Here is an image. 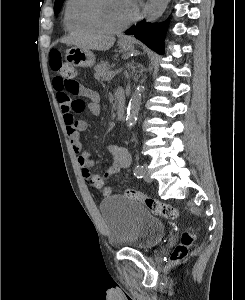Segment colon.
Returning a JSON list of instances; mask_svg holds the SVG:
<instances>
[{
  "instance_id": "colon-1",
  "label": "colon",
  "mask_w": 245,
  "mask_h": 300,
  "mask_svg": "<svg viewBox=\"0 0 245 300\" xmlns=\"http://www.w3.org/2000/svg\"><path fill=\"white\" fill-rule=\"evenodd\" d=\"M50 67L57 76L66 83V87L69 91L76 89V81L74 76L76 71L74 67L63 61L62 55L58 50L50 52ZM85 101L82 99H75L73 101V108L77 111H81L85 108ZM89 185L94 189L103 190L106 194L110 193V189L105 188L99 177H91ZM125 196L129 199L140 201L145 207L154 215L164 217L169 220H175L180 217V213L174 206L161 202L157 199L151 198L137 190L127 189L124 192ZM195 235L193 232L185 231L181 237V243L175 248L172 254V260H180L186 257L188 248L193 243Z\"/></svg>"
}]
</instances>
